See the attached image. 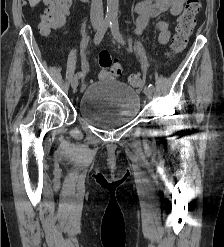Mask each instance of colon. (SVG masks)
Segmentation results:
<instances>
[{"instance_id":"colon-1","label":"colon","mask_w":224,"mask_h":247,"mask_svg":"<svg viewBox=\"0 0 224 247\" xmlns=\"http://www.w3.org/2000/svg\"><path fill=\"white\" fill-rule=\"evenodd\" d=\"M46 9L41 16L40 29L48 33L53 29L60 27L72 4V0H45ZM201 9L200 0H186L184 11L177 21L176 32L173 36L170 54L180 53L187 45L188 39L196 25V16ZM98 62L101 69L108 71L113 76H120L123 67L118 62H113L110 53L102 50L98 56ZM129 82L133 86L141 84V78L137 74L129 77Z\"/></svg>"}]
</instances>
